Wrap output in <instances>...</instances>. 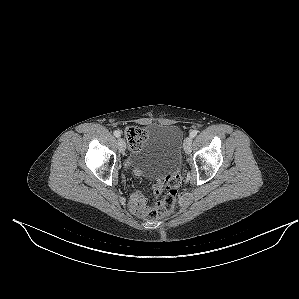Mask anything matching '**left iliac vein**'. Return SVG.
<instances>
[{"mask_svg":"<svg viewBox=\"0 0 299 299\" xmlns=\"http://www.w3.org/2000/svg\"><path fill=\"white\" fill-rule=\"evenodd\" d=\"M192 138L189 136L184 141V150L187 154L191 152Z\"/></svg>","mask_w":299,"mask_h":299,"instance_id":"left-iliac-vein-1","label":"left iliac vein"}]
</instances>
